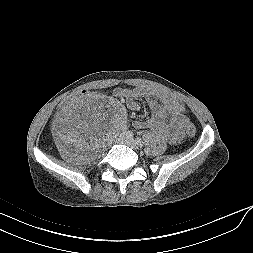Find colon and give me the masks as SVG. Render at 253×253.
Instances as JSON below:
<instances>
[{
	"label": "colon",
	"mask_w": 253,
	"mask_h": 253,
	"mask_svg": "<svg viewBox=\"0 0 253 253\" xmlns=\"http://www.w3.org/2000/svg\"><path fill=\"white\" fill-rule=\"evenodd\" d=\"M91 89H82L75 94H72L67 98L61 105L60 110L66 111L70 108L77 100L84 98L85 96H91ZM185 131L188 136H194L196 134V127L192 123H188L185 127Z\"/></svg>",
	"instance_id": "obj_1"
}]
</instances>
